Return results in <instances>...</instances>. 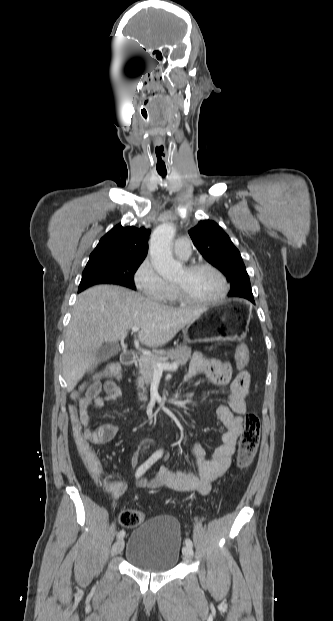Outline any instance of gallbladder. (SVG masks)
Here are the masks:
<instances>
[{"label": "gallbladder", "instance_id": "obj_1", "mask_svg": "<svg viewBox=\"0 0 333 621\" xmlns=\"http://www.w3.org/2000/svg\"><path fill=\"white\" fill-rule=\"evenodd\" d=\"M121 351V347L116 342H107L99 350L97 357L99 361H106ZM94 368V366L92 367ZM92 370V369H91Z\"/></svg>", "mask_w": 333, "mask_h": 621}]
</instances>
